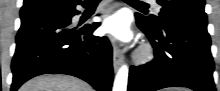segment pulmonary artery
<instances>
[{"label": "pulmonary artery", "instance_id": "1", "mask_svg": "<svg viewBox=\"0 0 220 91\" xmlns=\"http://www.w3.org/2000/svg\"><path fill=\"white\" fill-rule=\"evenodd\" d=\"M151 3H155V1H150ZM156 10L157 11H159V8L158 7H156Z\"/></svg>", "mask_w": 220, "mask_h": 91}]
</instances>
